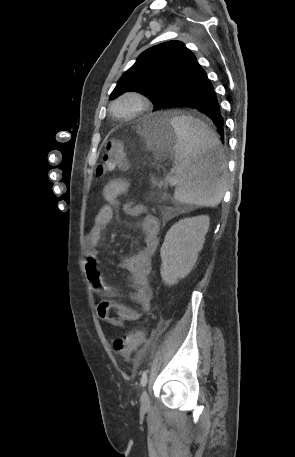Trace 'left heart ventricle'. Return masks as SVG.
I'll list each match as a JSON object with an SVG mask.
<instances>
[{"label": "left heart ventricle", "instance_id": "b2bd125f", "mask_svg": "<svg viewBox=\"0 0 295 457\" xmlns=\"http://www.w3.org/2000/svg\"><path fill=\"white\" fill-rule=\"evenodd\" d=\"M130 108V104H124L121 106V110H127Z\"/></svg>", "mask_w": 295, "mask_h": 457}]
</instances>
